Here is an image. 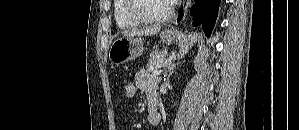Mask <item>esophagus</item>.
<instances>
[{"label":"esophagus","instance_id":"obj_1","mask_svg":"<svg viewBox=\"0 0 299 130\" xmlns=\"http://www.w3.org/2000/svg\"><path fill=\"white\" fill-rule=\"evenodd\" d=\"M189 4H190V0L182 1L177 16L174 20L175 25L181 24L184 21Z\"/></svg>","mask_w":299,"mask_h":130}]
</instances>
